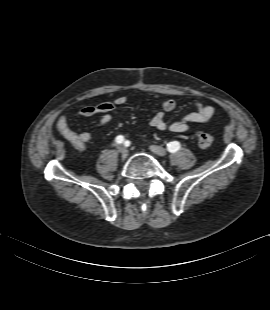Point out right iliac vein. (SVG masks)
Segmentation results:
<instances>
[{
    "instance_id": "obj_1",
    "label": "right iliac vein",
    "mask_w": 270,
    "mask_h": 310,
    "mask_svg": "<svg viewBox=\"0 0 270 310\" xmlns=\"http://www.w3.org/2000/svg\"><path fill=\"white\" fill-rule=\"evenodd\" d=\"M120 153L122 158H126L128 156V150L125 147L120 148Z\"/></svg>"
}]
</instances>
